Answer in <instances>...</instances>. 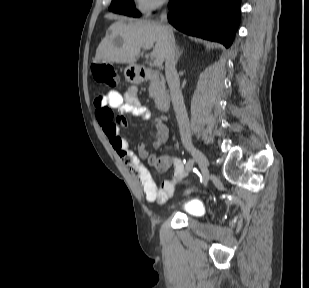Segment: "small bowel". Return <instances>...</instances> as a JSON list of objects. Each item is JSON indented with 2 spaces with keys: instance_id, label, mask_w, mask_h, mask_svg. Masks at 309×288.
<instances>
[{
  "instance_id": "c3829d8e",
  "label": "small bowel",
  "mask_w": 309,
  "mask_h": 288,
  "mask_svg": "<svg viewBox=\"0 0 309 288\" xmlns=\"http://www.w3.org/2000/svg\"><path fill=\"white\" fill-rule=\"evenodd\" d=\"M95 113L104 136L118 156L126 163L139 179L145 198L150 202L165 203L175 191L178 181L186 176V170L179 159L172 154L155 156L149 154L143 144L139 145L138 152L130 149L127 140L118 132V126L113 120L112 110L117 109L135 116L141 120L150 118L149 110L142 105L136 88H129L123 95L118 91H109L94 101ZM157 134L153 143L154 148L161 147L168 139L169 131L165 124V117L158 119ZM142 160H147L156 170L163 172L173 168V178L165 180L159 187L154 183L151 175Z\"/></svg>"
}]
</instances>
